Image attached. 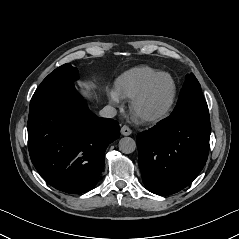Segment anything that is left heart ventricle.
Here are the masks:
<instances>
[{"label": "left heart ventricle", "instance_id": "obj_1", "mask_svg": "<svg viewBox=\"0 0 239 239\" xmlns=\"http://www.w3.org/2000/svg\"><path fill=\"white\" fill-rule=\"evenodd\" d=\"M171 89V82L168 78L163 77L158 79L136 106L135 113L139 115L157 111L168 100Z\"/></svg>", "mask_w": 239, "mask_h": 239}]
</instances>
